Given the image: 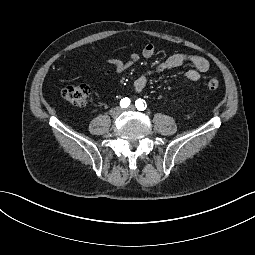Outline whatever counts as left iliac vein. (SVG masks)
Masks as SVG:
<instances>
[{"label":"left iliac vein","mask_w":255,"mask_h":255,"mask_svg":"<svg viewBox=\"0 0 255 255\" xmlns=\"http://www.w3.org/2000/svg\"><path fill=\"white\" fill-rule=\"evenodd\" d=\"M134 109V106H130L127 110L133 111Z\"/></svg>","instance_id":"obj_1"}]
</instances>
